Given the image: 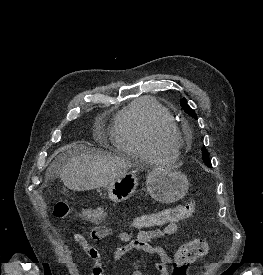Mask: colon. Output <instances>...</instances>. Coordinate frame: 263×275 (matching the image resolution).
<instances>
[{
    "instance_id": "1",
    "label": "colon",
    "mask_w": 263,
    "mask_h": 275,
    "mask_svg": "<svg viewBox=\"0 0 263 275\" xmlns=\"http://www.w3.org/2000/svg\"><path fill=\"white\" fill-rule=\"evenodd\" d=\"M194 210V203L188 202L173 208L137 216L132 219L131 226L137 229H145L177 223L192 216ZM70 212L69 206L65 203H57L53 210V214L57 218H63ZM76 215L83 221L98 223L106 219V210L101 206H97L82 209ZM208 250V242L200 238L183 244L173 257L172 275H187L186 272L189 271L190 266L204 257Z\"/></svg>"
}]
</instances>
